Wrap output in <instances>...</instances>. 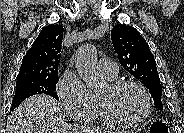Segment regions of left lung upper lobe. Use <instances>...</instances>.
<instances>
[{"label": "left lung upper lobe", "mask_w": 184, "mask_h": 133, "mask_svg": "<svg viewBox=\"0 0 184 133\" xmlns=\"http://www.w3.org/2000/svg\"><path fill=\"white\" fill-rule=\"evenodd\" d=\"M111 39L121 65L142 81L149 89L155 106L162 110V86L156 61L145 39L135 28L122 24L113 27Z\"/></svg>", "instance_id": "left-lung-upper-lobe-1"}]
</instances>
